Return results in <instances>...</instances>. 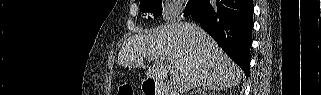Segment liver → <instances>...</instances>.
<instances>
[{"instance_id":"obj_1","label":"liver","mask_w":321,"mask_h":95,"mask_svg":"<svg viewBox=\"0 0 321 95\" xmlns=\"http://www.w3.org/2000/svg\"><path fill=\"white\" fill-rule=\"evenodd\" d=\"M153 61L146 76L163 81L169 66L176 74L178 91L217 85L231 88L240 83L242 70L201 28L187 22L165 24L152 34H136L124 42L118 64L146 69L144 58Z\"/></svg>"}]
</instances>
